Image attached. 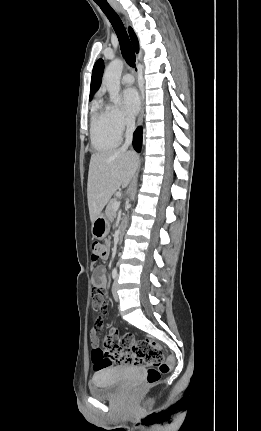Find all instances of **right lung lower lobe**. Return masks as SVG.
I'll use <instances>...</instances> for the list:
<instances>
[{
    "label": "right lung lower lobe",
    "mask_w": 261,
    "mask_h": 431,
    "mask_svg": "<svg viewBox=\"0 0 261 431\" xmlns=\"http://www.w3.org/2000/svg\"><path fill=\"white\" fill-rule=\"evenodd\" d=\"M142 145V128L139 127L134 132L133 146L137 152H140Z\"/></svg>",
    "instance_id": "obj_1"
}]
</instances>
